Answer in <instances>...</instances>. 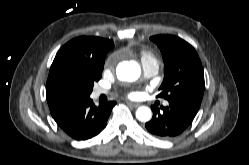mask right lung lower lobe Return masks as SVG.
<instances>
[{
	"instance_id": "98d812e1",
	"label": "right lung lower lobe",
	"mask_w": 249,
	"mask_h": 165,
	"mask_svg": "<svg viewBox=\"0 0 249 165\" xmlns=\"http://www.w3.org/2000/svg\"><path fill=\"white\" fill-rule=\"evenodd\" d=\"M116 102L95 106L90 97H79L53 102L49 105L58 126L76 140H86L98 135L107 124Z\"/></svg>"
}]
</instances>
